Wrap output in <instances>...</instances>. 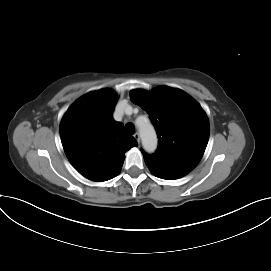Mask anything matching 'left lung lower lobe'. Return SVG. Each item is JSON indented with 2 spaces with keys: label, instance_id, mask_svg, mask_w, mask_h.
<instances>
[{
  "label": "left lung lower lobe",
  "instance_id": "0a47b994",
  "mask_svg": "<svg viewBox=\"0 0 271 271\" xmlns=\"http://www.w3.org/2000/svg\"><path fill=\"white\" fill-rule=\"evenodd\" d=\"M149 170L157 177L167 180H173L185 176L189 172L184 170H180L177 168H172L168 166H164L158 164L156 162L150 161L148 159H144Z\"/></svg>",
  "mask_w": 271,
  "mask_h": 271
}]
</instances>
